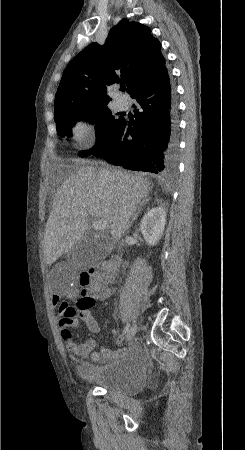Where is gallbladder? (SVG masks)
<instances>
[{
    "label": "gallbladder",
    "instance_id": "bac80fb5",
    "mask_svg": "<svg viewBox=\"0 0 245 450\" xmlns=\"http://www.w3.org/2000/svg\"><path fill=\"white\" fill-rule=\"evenodd\" d=\"M109 253L110 249L104 242L95 239H83L69 251L67 262L70 267L79 270L104 259Z\"/></svg>",
    "mask_w": 245,
    "mask_h": 450
}]
</instances>
